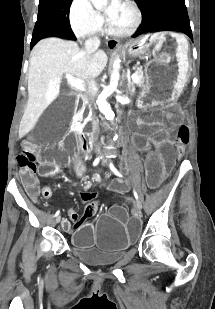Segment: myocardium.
I'll return each mask as SVG.
<instances>
[{"mask_svg":"<svg viewBox=\"0 0 215 309\" xmlns=\"http://www.w3.org/2000/svg\"><path fill=\"white\" fill-rule=\"evenodd\" d=\"M122 8L131 14L130 23H114L112 19H106L105 23H102V30H107L108 34H115L116 38H130L131 32L136 30L137 26L140 25L139 12L130 5H124Z\"/></svg>","mask_w":215,"mask_h":309,"instance_id":"f54148a6","label":"myocardium"}]
</instances>
